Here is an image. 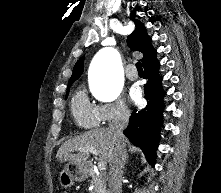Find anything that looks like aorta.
<instances>
[{"label": "aorta", "instance_id": "obj_1", "mask_svg": "<svg viewBox=\"0 0 221 193\" xmlns=\"http://www.w3.org/2000/svg\"><path fill=\"white\" fill-rule=\"evenodd\" d=\"M94 80V96L104 102L115 101L123 87L122 64L118 51L104 48L94 57L91 64Z\"/></svg>", "mask_w": 221, "mask_h": 193}]
</instances>
